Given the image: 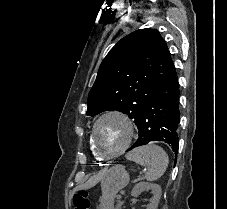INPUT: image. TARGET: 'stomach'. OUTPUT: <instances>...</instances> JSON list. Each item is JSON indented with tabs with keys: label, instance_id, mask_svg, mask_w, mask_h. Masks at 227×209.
Segmentation results:
<instances>
[{
	"label": "stomach",
	"instance_id": "0dacf381",
	"mask_svg": "<svg viewBox=\"0 0 227 209\" xmlns=\"http://www.w3.org/2000/svg\"><path fill=\"white\" fill-rule=\"evenodd\" d=\"M128 182L129 174L122 165H115L105 171L101 181L100 209H114L116 194L127 186Z\"/></svg>",
	"mask_w": 227,
	"mask_h": 209
}]
</instances>
